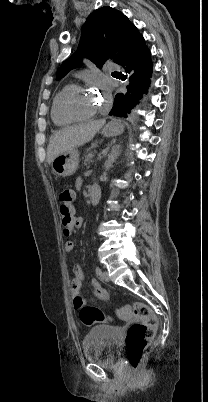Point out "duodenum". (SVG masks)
Instances as JSON below:
<instances>
[{"instance_id":"obj_1","label":"duodenum","mask_w":208,"mask_h":402,"mask_svg":"<svg viewBox=\"0 0 208 402\" xmlns=\"http://www.w3.org/2000/svg\"><path fill=\"white\" fill-rule=\"evenodd\" d=\"M100 199V188L98 186H92L90 190V201L92 204H97Z\"/></svg>"}]
</instances>
